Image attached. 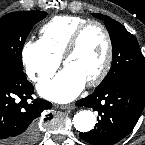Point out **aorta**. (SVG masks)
Listing matches in <instances>:
<instances>
[{
	"instance_id": "762f6f07",
	"label": "aorta",
	"mask_w": 145,
	"mask_h": 145,
	"mask_svg": "<svg viewBox=\"0 0 145 145\" xmlns=\"http://www.w3.org/2000/svg\"><path fill=\"white\" fill-rule=\"evenodd\" d=\"M96 123V116L90 110H82L74 115L73 125L79 132L91 131Z\"/></svg>"
}]
</instances>
